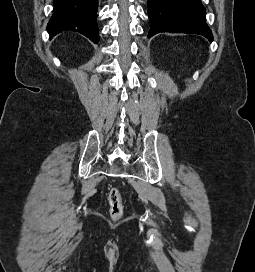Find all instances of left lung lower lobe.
<instances>
[{
  "label": "left lung lower lobe",
  "instance_id": "left-lung-lower-lobe-1",
  "mask_svg": "<svg viewBox=\"0 0 255 272\" xmlns=\"http://www.w3.org/2000/svg\"><path fill=\"white\" fill-rule=\"evenodd\" d=\"M151 29L148 38L159 32L199 34L213 41L200 0H148Z\"/></svg>",
  "mask_w": 255,
  "mask_h": 272
}]
</instances>
